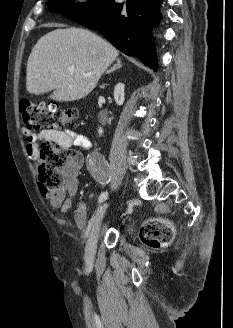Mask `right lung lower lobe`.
Wrapping results in <instances>:
<instances>
[{"mask_svg":"<svg viewBox=\"0 0 233 328\" xmlns=\"http://www.w3.org/2000/svg\"><path fill=\"white\" fill-rule=\"evenodd\" d=\"M163 0H100L92 7L74 12L67 17L100 30L120 51L139 58L148 67L157 70L154 38L150 26L161 19L159 6Z\"/></svg>","mask_w":233,"mask_h":328,"instance_id":"right-lung-lower-lobe-1","label":"right lung lower lobe"}]
</instances>
